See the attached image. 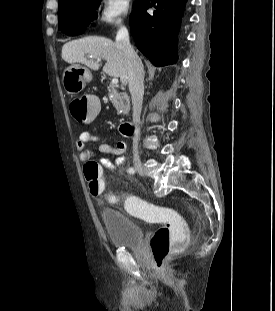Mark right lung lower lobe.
Segmentation results:
<instances>
[{"mask_svg": "<svg viewBox=\"0 0 275 311\" xmlns=\"http://www.w3.org/2000/svg\"><path fill=\"white\" fill-rule=\"evenodd\" d=\"M186 1L157 0L156 11L150 15L146 12L149 1L140 0L130 17V31L137 48L157 67L176 62L177 36ZM89 24L77 33L82 34Z\"/></svg>", "mask_w": 275, "mask_h": 311, "instance_id": "98d812e1", "label": "right lung lower lobe"}]
</instances>
